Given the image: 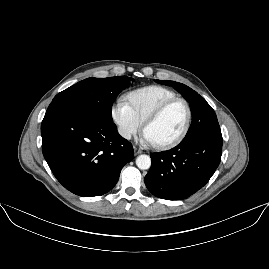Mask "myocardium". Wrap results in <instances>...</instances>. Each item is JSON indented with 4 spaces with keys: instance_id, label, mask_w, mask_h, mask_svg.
I'll return each instance as SVG.
<instances>
[{
    "instance_id": "f54148a6",
    "label": "myocardium",
    "mask_w": 269,
    "mask_h": 269,
    "mask_svg": "<svg viewBox=\"0 0 269 269\" xmlns=\"http://www.w3.org/2000/svg\"><path fill=\"white\" fill-rule=\"evenodd\" d=\"M175 103H182L186 109V121H185V124H184L182 131L179 133V135L177 137H175L173 140H171L167 143L160 144V145L150 143L146 139V131H147L148 127L156 119H158L169 107H171ZM191 119H192V110H191L189 102L183 98L175 97L173 99H170V100L162 103L160 106H158L155 110H153L147 116V118L144 122V125H143L142 133H143L144 138L147 140V142L150 144L151 147H153L154 149H156L158 151H166V150H169V149L177 146L186 137V135L189 131V128H190Z\"/></svg>"
}]
</instances>
